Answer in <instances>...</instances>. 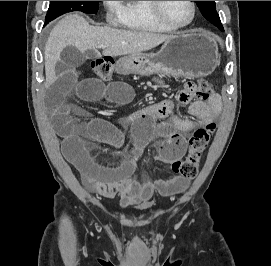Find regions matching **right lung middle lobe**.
I'll return each mask as SVG.
<instances>
[{"mask_svg":"<svg viewBox=\"0 0 271 266\" xmlns=\"http://www.w3.org/2000/svg\"><path fill=\"white\" fill-rule=\"evenodd\" d=\"M98 8L99 1H50L45 25L67 12L82 11L88 14H95L97 13Z\"/></svg>","mask_w":271,"mask_h":266,"instance_id":"right-lung-middle-lobe-1","label":"right lung middle lobe"}]
</instances>
